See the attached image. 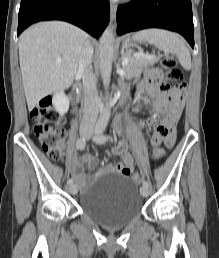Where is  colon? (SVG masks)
I'll use <instances>...</instances> for the list:
<instances>
[{"label":"colon","instance_id":"obj_1","mask_svg":"<svg viewBox=\"0 0 219 258\" xmlns=\"http://www.w3.org/2000/svg\"><path fill=\"white\" fill-rule=\"evenodd\" d=\"M162 67L165 71L167 81L178 83L179 91L185 90V84L182 82L183 73L177 66L176 60L172 56H164ZM30 116L34 121V134L42 145L46 154L54 160H59L63 154L65 145V130L63 128L64 119L55 110L50 97H44L30 111ZM153 157L157 163H160L165 157V150L159 146L153 149ZM142 176L135 173L132 181L139 183Z\"/></svg>","mask_w":219,"mask_h":258}]
</instances>
